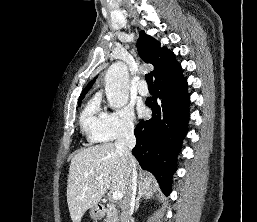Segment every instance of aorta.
<instances>
[{"label": "aorta", "mask_w": 257, "mask_h": 222, "mask_svg": "<svg viewBox=\"0 0 257 222\" xmlns=\"http://www.w3.org/2000/svg\"><path fill=\"white\" fill-rule=\"evenodd\" d=\"M129 73L122 62L112 64L105 75V91L110 107L119 109L125 106L129 99Z\"/></svg>", "instance_id": "1"}]
</instances>
